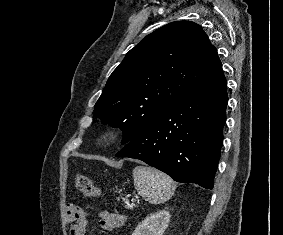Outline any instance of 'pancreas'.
Returning a JSON list of instances; mask_svg holds the SVG:
<instances>
[{
	"label": "pancreas",
	"instance_id": "cf45deb5",
	"mask_svg": "<svg viewBox=\"0 0 283 235\" xmlns=\"http://www.w3.org/2000/svg\"><path fill=\"white\" fill-rule=\"evenodd\" d=\"M124 203H125V207L128 209H133L134 208V204H130L129 201L127 199H123Z\"/></svg>",
	"mask_w": 283,
	"mask_h": 235
}]
</instances>
